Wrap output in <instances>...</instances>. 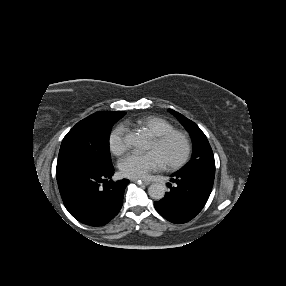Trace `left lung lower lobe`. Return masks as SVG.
<instances>
[{
  "mask_svg": "<svg viewBox=\"0 0 286 286\" xmlns=\"http://www.w3.org/2000/svg\"><path fill=\"white\" fill-rule=\"evenodd\" d=\"M215 171H177L168 183L170 192L154 203L157 212L172 223L182 224L193 219L205 206L212 191Z\"/></svg>",
  "mask_w": 286,
  "mask_h": 286,
  "instance_id": "obj_1",
  "label": "left lung lower lobe"
}]
</instances>
